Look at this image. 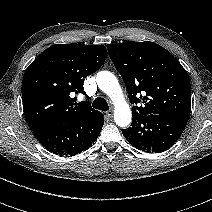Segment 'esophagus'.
I'll use <instances>...</instances> for the list:
<instances>
[{
	"label": "esophagus",
	"instance_id": "34e87169",
	"mask_svg": "<svg viewBox=\"0 0 212 212\" xmlns=\"http://www.w3.org/2000/svg\"><path fill=\"white\" fill-rule=\"evenodd\" d=\"M106 115H107L109 118H111V117L113 116V110H108V111L106 112Z\"/></svg>",
	"mask_w": 212,
	"mask_h": 212
}]
</instances>
